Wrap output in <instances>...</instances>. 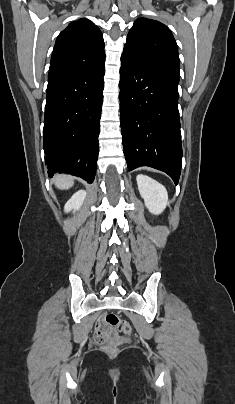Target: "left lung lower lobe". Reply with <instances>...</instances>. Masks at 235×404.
Returning <instances> with one entry per match:
<instances>
[{"instance_id": "obj_1", "label": "left lung lower lobe", "mask_w": 235, "mask_h": 404, "mask_svg": "<svg viewBox=\"0 0 235 404\" xmlns=\"http://www.w3.org/2000/svg\"><path fill=\"white\" fill-rule=\"evenodd\" d=\"M179 77L126 53L121 56L120 118L128 169L150 166L176 185L182 165Z\"/></svg>"}]
</instances>
